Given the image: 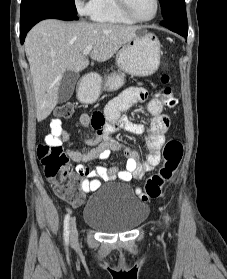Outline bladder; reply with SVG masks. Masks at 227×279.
I'll return each instance as SVG.
<instances>
[{"label": "bladder", "mask_w": 227, "mask_h": 279, "mask_svg": "<svg viewBox=\"0 0 227 279\" xmlns=\"http://www.w3.org/2000/svg\"><path fill=\"white\" fill-rule=\"evenodd\" d=\"M148 213V206L129 187L101 186L98 193L89 198L83 220L86 225L113 233L135 229Z\"/></svg>", "instance_id": "31cf9c89"}]
</instances>
